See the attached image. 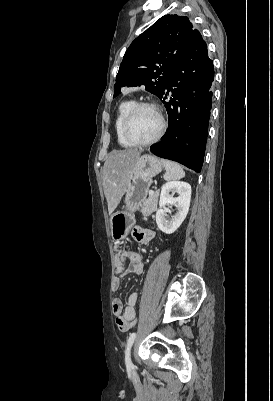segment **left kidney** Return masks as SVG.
Masks as SVG:
<instances>
[{"mask_svg": "<svg viewBox=\"0 0 273 401\" xmlns=\"http://www.w3.org/2000/svg\"><path fill=\"white\" fill-rule=\"evenodd\" d=\"M170 192H179V196H173ZM191 201V186L188 182H181V180H171L165 182L161 188L159 207L156 213V223L163 233L172 235L177 231L178 227L182 225L187 213L189 211ZM165 205H174L177 207V213L173 215L172 219L168 221L165 219L167 211H164Z\"/></svg>", "mask_w": 273, "mask_h": 401, "instance_id": "obj_1", "label": "left kidney"}]
</instances>
